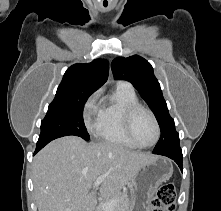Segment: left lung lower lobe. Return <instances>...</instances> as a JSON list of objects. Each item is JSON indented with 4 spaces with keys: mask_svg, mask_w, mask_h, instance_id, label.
<instances>
[{
    "mask_svg": "<svg viewBox=\"0 0 221 211\" xmlns=\"http://www.w3.org/2000/svg\"><path fill=\"white\" fill-rule=\"evenodd\" d=\"M153 153L171 158L172 160H174L178 164V166L180 167L181 171L183 170V168H182L183 156H182V150H181L180 147L179 148H175V149L158 151V152H154L153 151Z\"/></svg>",
    "mask_w": 221,
    "mask_h": 211,
    "instance_id": "left-lung-lower-lobe-1",
    "label": "left lung lower lobe"
}]
</instances>
